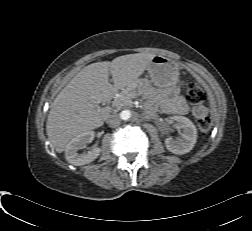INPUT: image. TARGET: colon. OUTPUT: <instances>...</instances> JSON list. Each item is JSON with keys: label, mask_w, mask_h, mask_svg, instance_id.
I'll return each mask as SVG.
<instances>
[{"label": "colon", "mask_w": 252, "mask_h": 231, "mask_svg": "<svg viewBox=\"0 0 252 231\" xmlns=\"http://www.w3.org/2000/svg\"><path fill=\"white\" fill-rule=\"evenodd\" d=\"M186 99L191 105H199L205 102L204 92L195 85H190L186 90ZM211 119L204 117L198 121V129L202 134H207L211 129Z\"/></svg>", "instance_id": "obj_1"}]
</instances>
